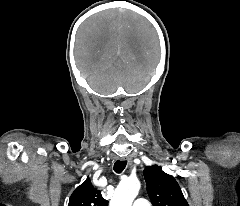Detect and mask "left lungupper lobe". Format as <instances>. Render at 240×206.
Listing matches in <instances>:
<instances>
[{
	"mask_svg": "<svg viewBox=\"0 0 240 206\" xmlns=\"http://www.w3.org/2000/svg\"><path fill=\"white\" fill-rule=\"evenodd\" d=\"M143 173L154 206H189L173 176L157 165L146 167Z\"/></svg>",
	"mask_w": 240,
	"mask_h": 206,
	"instance_id": "obj_1",
	"label": "left lung upper lobe"
}]
</instances>
